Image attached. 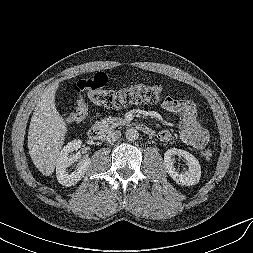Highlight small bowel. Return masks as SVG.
Segmentation results:
<instances>
[{
    "instance_id": "c3829d8e",
    "label": "small bowel",
    "mask_w": 253,
    "mask_h": 253,
    "mask_svg": "<svg viewBox=\"0 0 253 253\" xmlns=\"http://www.w3.org/2000/svg\"><path fill=\"white\" fill-rule=\"evenodd\" d=\"M162 108L179 118L180 138L184 143L195 149L205 146L208 132L200 125L195 105L191 99L167 97L162 103ZM157 138L162 142H168L172 135L168 130H161L157 133Z\"/></svg>"
}]
</instances>
